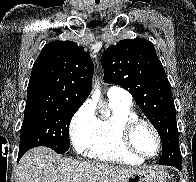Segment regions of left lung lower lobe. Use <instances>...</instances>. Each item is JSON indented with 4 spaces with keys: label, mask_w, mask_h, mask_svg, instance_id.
Wrapping results in <instances>:
<instances>
[{
    "label": "left lung lower lobe",
    "mask_w": 196,
    "mask_h": 182,
    "mask_svg": "<svg viewBox=\"0 0 196 182\" xmlns=\"http://www.w3.org/2000/svg\"><path fill=\"white\" fill-rule=\"evenodd\" d=\"M162 160L159 163H168L181 170L180 154L169 146H162Z\"/></svg>",
    "instance_id": "0a47b994"
}]
</instances>
